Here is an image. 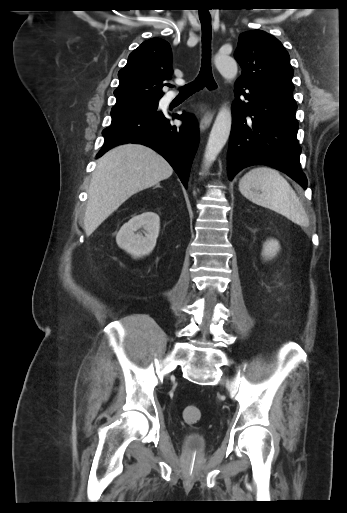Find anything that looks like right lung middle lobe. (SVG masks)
Instances as JSON below:
<instances>
[{
  "instance_id": "1",
  "label": "right lung middle lobe",
  "mask_w": 347,
  "mask_h": 513,
  "mask_svg": "<svg viewBox=\"0 0 347 513\" xmlns=\"http://www.w3.org/2000/svg\"><path fill=\"white\" fill-rule=\"evenodd\" d=\"M159 99H145L125 105H116L112 108L111 116L128 115L142 112H158Z\"/></svg>"
}]
</instances>
